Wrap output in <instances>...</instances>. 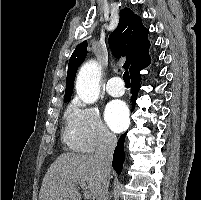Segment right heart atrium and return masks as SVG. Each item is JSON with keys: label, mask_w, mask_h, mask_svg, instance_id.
Wrapping results in <instances>:
<instances>
[{"label": "right heart atrium", "mask_w": 201, "mask_h": 200, "mask_svg": "<svg viewBox=\"0 0 201 200\" xmlns=\"http://www.w3.org/2000/svg\"><path fill=\"white\" fill-rule=\"evenodd\" d=\"M65 140L74 150L95 152L115 146L116 136L107 128L99 110L74 100L66 112Z\"/></svg>", "instance_id": "1"}]
</instances>
